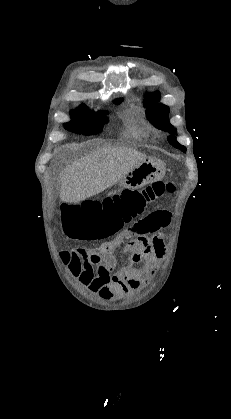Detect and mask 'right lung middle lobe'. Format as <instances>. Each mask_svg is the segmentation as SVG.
<instances>
[{
  "label": "right lung middle lobe",
  "mask_w": 231,
  "mask_h": 419,
  "mask_svg": "<svg viewBox=\"0 0 231 419\" xmlns=\"http://www.w3.org/2000/svg\"><path fill=\"white\" fill-rule=\"evenodd\" d=\"M122 99L114 101L115 104L121 103ZM103 112H90L86 105H82L76 111L71 112L72 121L66 123L64 127L72 132L84 135H92L101 132V124L106 119H102Z\"/></svg>",
  "instance_id": "dd1d6c3e"
}]
</instances>
